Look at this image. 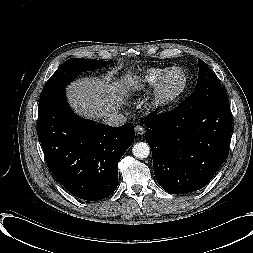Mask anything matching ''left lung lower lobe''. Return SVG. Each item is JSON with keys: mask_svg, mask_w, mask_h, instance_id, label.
<instances>
[{"mask_svg": "<svg viewBox=\"0 0 253 253\" xmlns=\"http://www.w3.org/2000/svg\"><path fill=\"white\" fill-rule=\"evenodd\" d=\"M155 177L172 194L199 190L228 156L232 120L224 89L208 101L189 96L178 107L145 119Z\"/></svg>", "mask_w": 253, "mask_h": 253, "instance_id": "1", "label": "left lung lower lobe"}]
</instances>
